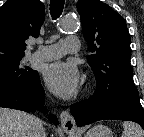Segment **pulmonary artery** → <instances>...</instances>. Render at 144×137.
<instances>
[{"instance_id": "obj_1", "label": "pulmonary artery", "mask_w": 144, "mask_h": 137, "mask_svg": "<svg viewBox=\"0 0 144 137\" xmlns=\"http://www.w3.org/2000/svg\"><path fill=\"white\" fill-rule=\"evenodd\" d=\"M79 40L74 37H67L58 43L40 46L34 57L41 61L55 60L67 53H76L79 50Z\"/></svg>"}]
</instances>
